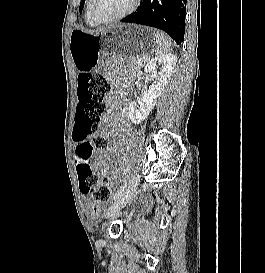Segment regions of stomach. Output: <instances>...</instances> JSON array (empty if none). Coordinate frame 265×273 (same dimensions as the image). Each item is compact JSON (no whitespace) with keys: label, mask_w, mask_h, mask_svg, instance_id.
Instances as JSON below:
<instances>
[{"label":"stomach","mask_w":265,"mask_h":273,"mask_svg":"<svg viewBox=\"0 0 265 273\" xmlns=\"http://www.w3.org/2000/svg\"><path fill=\"white\" fill-rule=\"evenodd\" d=\"M159 45L163 40L157 30H149V25H108V30L96 33L75 29L70 36V53L79 72L110 69V64H135L140 56H154L149 50L159 49Z\"/></svg>","instance_id":"stomach-1"}]
</instances>
